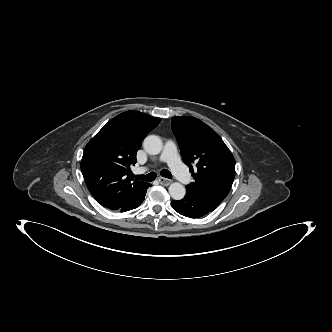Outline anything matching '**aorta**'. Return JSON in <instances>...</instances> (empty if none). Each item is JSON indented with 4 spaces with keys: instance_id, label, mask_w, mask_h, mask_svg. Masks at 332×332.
<instances>
[{
    "instance_id": "aorta-1",
    "label": "aorta",
    "mask_w": 332,
    "mask_h": 332,
    "mask_svg": "<svg viewBox=\"0 0 332 332\" xmlns=\"http://www.w3.org/2000/svg\"><path fill=\"white\" fill-rule=\"evenodd\" d=\"M143 147L148 154L157 155L163 148V142L159 136L148 135L143 141ZM169 194L174 200H181L186 194V189L182 184L174 182L169 186Z\"/></svg>"
}]
</instances>
